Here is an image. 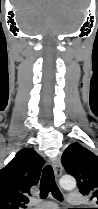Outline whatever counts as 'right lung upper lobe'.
Returning a JSON list of instances; mask_svg holds the SVG:
<instances>
[{
    "mask_svg": "<svg viewBox=\"0 0 98 209\" xmlns=\"http://www.w3.org/2000/svg\"><path fill=\"white\" fill-rule=\"evenodd\" d=\"M43 165L34 149L25 148L0 170V209H19L29 202L30 188L38 183Z\"/></svg>",
    "mask_w": 98,
    "mask_h": 209,
    "instance_id": "1",
    "label": "right lung upper lobe"
}]
</instances>
